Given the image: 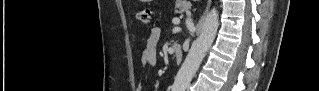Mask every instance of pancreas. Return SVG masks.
<instances>
[{
    "label": "pancreas",
    "instance_id": "1",
    "mask_svg": "<svg viewBox=\"0 0 319 91\" xmlns=\"http://www.w3.org/2000/svg\"><path fill=\"white\" fill-rule=\"evenodd\" d=\"M190 8L189 4L176 3L175 11L179 13L186 12Z\"/></svg>",
    "mask_w": 319,
    "mask_h": 91
}]
</instances>
